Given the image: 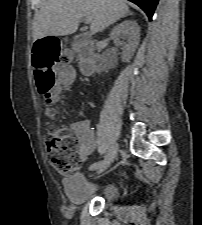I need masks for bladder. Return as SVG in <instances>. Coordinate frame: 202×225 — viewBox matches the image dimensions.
I'll return each mask as SVG.
<instances>
[{"label": "bladder", "instance_id": "31cf9c89", "mask_svg": "<svg viewBox=\"0 0 202 225\" xmlns=\"http://www.w3.org/2000/svg\"><path fill=\"white\" fill-rule=\"evenodd\" d=\"M64 182L67 198L74 207H79L94 198L114 204L122 197L118 184L112 180L89 183L85 174L80 173L64 179Z\"/></svg>", "mask_w": 202, "mask_h": 225}]
</instances>
